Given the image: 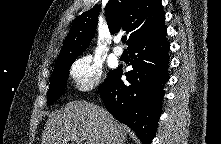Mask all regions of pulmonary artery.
Segmentation results:
<instances>
[{"mask_svg":"<svg viewBox=\"0 0 221 144\" xmlns=\"http://www.w3.org/2000/svg\"><path fill=\"white\" fill-rule=\"evenodd\" d=\"M119 41H120L119 38H116V39H115V43H116V44H118ZM113 53H114L116 56L119 57V56H121V55L123 54V49H122L120 46L116 45V46L113 48Z\"/></svg>","mask_w":221,"mask_h":144,"instance_id":"e3ab8cb5","label":"pulmonary artery"}]
</instances>
